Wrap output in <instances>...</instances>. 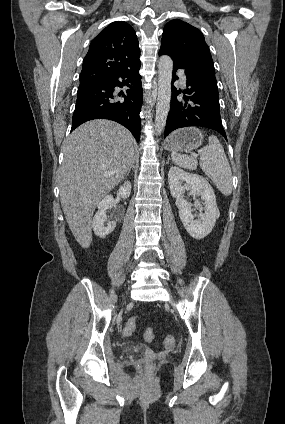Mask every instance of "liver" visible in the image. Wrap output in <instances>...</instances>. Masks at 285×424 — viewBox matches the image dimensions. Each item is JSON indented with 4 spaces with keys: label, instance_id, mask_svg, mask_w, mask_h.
Listing matches in <instances>:
<instances>
[{
    "label": "liver",
    "instance_id": "6515ba94",
    "mask_svg": "<svg viewBox=\"0 0 285 424\" xmlns=\"http://www.w3.org/2000/svg\"><path fill=\"white\" fill-rule=\"evenodd\" d=\"M134 137L122 125L95 119L75 129L63 144L60 201L73 236L92 242L96 206L124 178L134 159Z\"/></svg>",
    "mask_w": 285,
    "mask_h": 424
}]
</instances>
